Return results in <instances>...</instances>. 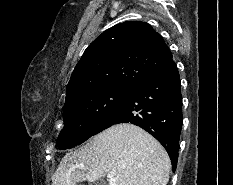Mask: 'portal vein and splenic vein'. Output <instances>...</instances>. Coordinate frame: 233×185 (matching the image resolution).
I'll return each instance as SVG.
<instances>
[{"mask_svg":"<svg viewBox=\"0 0 233 185\" xmlns=\"http://www.w3.org/2000/svg\"><path fill=\"white\" fill-rule=\"evenodd\" d=\"M76 167L77 168H81V169L85 168V166L82 165V164L77 165ZM107 178H108V180H109V182H110L111 185H116L115 184L116 180H115L114 175L112 173L107 174Z\"/></svg>","mask_w":233,"mask_h":185,"instance_id":"1","label":"portal vein and splenic vein"}]
</instances>
